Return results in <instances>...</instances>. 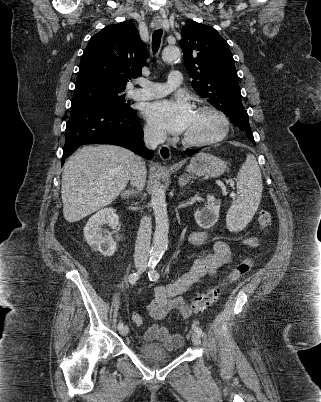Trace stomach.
Returning a JSON list of instances; mask_svg holds the SVG:
<instances>
[{
    "mask_svg": "<svg viewBox=\"0 0 321 402\" xmlns=\"http://www.w3.org/2000/svg\"><path fill=\"white\" fill-rule=\"evenodd\" d=\"M226 170V163L222 159L208 154L198 153L190 160L187 171L205 177H217L222 175Z\"/></svg>",
    "mask_w": 321,
    "mask_h": 402,
    "instance_id": "obj_1",
    "label": "stomach"
}]
</instances>
